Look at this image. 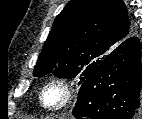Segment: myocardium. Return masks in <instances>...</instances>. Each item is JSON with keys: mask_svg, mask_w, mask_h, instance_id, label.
<instances>
[{"mask_svg": "<svg viewBox=\"0 0 142 119\" xmlns=\"http://www.w3.org/2000/svg\"><path fill=\"white\" fill-rule=\"evenodd\" d=\"M56 90L58 92V98L54 102L47 101V94ZM74 96V87L71 81L63 77H56L50 79L41 89L39 95L40 105L52 112L65 109L72 101Z\"/></svg>", "mask_w": 142, "mask_h": 119, "instance_id": "f54148a6", "label": "myocardium"}]
</instances>
